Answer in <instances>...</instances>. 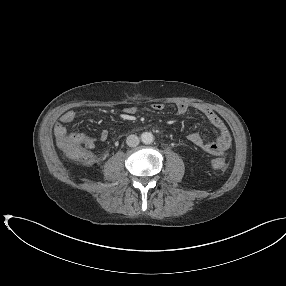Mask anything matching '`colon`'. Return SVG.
I'll use <instances>...</instances> for the list:
<instances>
[{"instance_id": "1", "label": "colon", "mask_w": 286, "mask_h": 286, "mask_svg": "<svg viewBox=\"0 0 286 286\" xmlns=\"http://www.w3.org/2000/svg\"><path fill=\"white\" fill-rule=\"evenodd\" d=\"M60 149L70 158L80 162H90L93 156L86 150L81 142V138L75 134H69L58 139ZM223 159H214L212 166L215 169L222 170L226 167Z\"/></svg>"}]
</instances>
